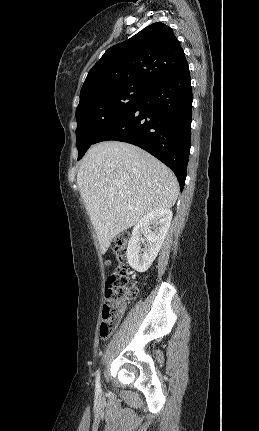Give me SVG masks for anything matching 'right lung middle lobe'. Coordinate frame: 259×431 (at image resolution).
Segmentation results:
<instances>
[{"label": "right lung middle lobe", "mask_w": 259, "mask_h": 431, "mask_svg": "<svg viewBox=\"0 0 259 431\" xmlns=\"http://www.w3.org/2000/svg\"><path fill=\"white\" fill-rule=\"evenodd\" d=\"M146 91L139 87H120L92 95L79 103L76 109L78 160Z\"/></svg>", "instance_id": "obj_1"}]
</instances>
